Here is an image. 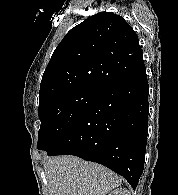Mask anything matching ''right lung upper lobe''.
<instances>
[{"instance_id": "cb5924a9", "label": "right lung upper lobe", "mask_w": 178, "mask_h": 195, "mask_svg": "<svg viewBox=\"0 0 178 195\" xmlns=\"http://www.w3.org/2000/svg\"><path fill=\"white\" fill-rule=\"evenodd\" d=\"M145 67L138 37L119 15L100 12L72 28L43 74L40 100L74 90H101Z\"/></svg>"}]
</instances>
